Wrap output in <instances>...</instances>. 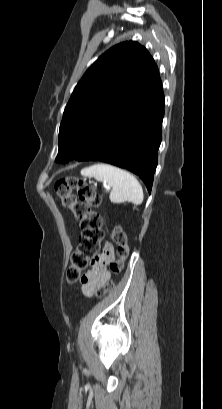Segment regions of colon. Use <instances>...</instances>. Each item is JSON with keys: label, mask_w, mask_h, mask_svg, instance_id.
<instances>
[{"label": "colon", "mask_w": 222, "mask_h": 409, "mask_svg": "<svg viewBox=\"0 0 222 409\" xmlns=\"http://www.w3.org/2000/svg\"><path fill=\"white\" fill-rule=\"evenodd\" d=\"M55 191L61 204L81 220L79 244L71 256L70 265L66 271L67 281L75 283L88 267L91 256H100L98 252L104 237L103 216L95 209L101 206L102 199L95 188L74 175L57 180ZM111 237L117 246V258L109 261V268L114 275H117L124 268L129 248L125 232L121 227H114ZM113 288L114 281L109 280L97 289L95 296H104Z\"/></svg>", "instance_id": "colon-1"}]
</instances>
